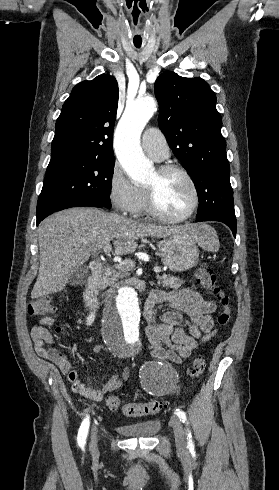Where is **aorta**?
<instances>
[{
	"instance_id": "762f6f07",
	"label": "aorta",
	"mask_w": 279,
	"mask_h": 490,
	"mask_svg": "<svg viewBox=\"0 0 279 490\" xmlns=\"http://www.w3.org/2000/svg\"><path fill=\"white\" fill-rule=\"evenodd\" d=\"M154 98L137 99L126 105L114 134L116 156L134 182L147 180L152 163L140 146L141 133L157 110ZM140 301L138 293L123 286L110 294L103 313V336L116 353H126L140 342Z\"/></svg>"
}]
</instances>
